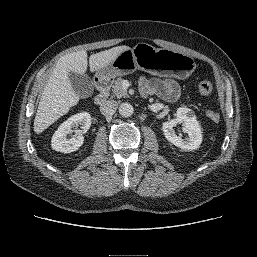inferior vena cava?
<instances>
[{"label": "inferior vena cava", "mask_w": 257, "mask_h": 257, "mask_svg": "<svg viewBox=\"0 0 257 257\" xmlns=\"http://www.w3.org/2000/svg\"><path fill=\"white\" fill-rule=\"evenodd\" d=\"M117 102L114 100H108L100 106V111L105 116L113 115L117 109Z\"/></svg>", "instance_id": "1"}]
</instances>
